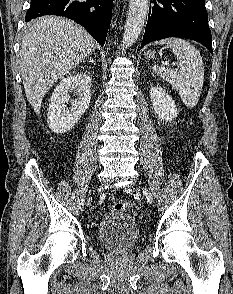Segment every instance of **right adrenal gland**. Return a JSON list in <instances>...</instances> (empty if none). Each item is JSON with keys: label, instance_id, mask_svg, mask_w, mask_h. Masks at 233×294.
<instances>
[{"label": "right adrenal gland", "instance_id": "1", "mask_svg": "<svg viewBox=\"0 0 233 294\" xmlns=\"http://www.w3.org/2000/svg\"><path fill=\"white\" fill-rule=\"evenodd\" d=\"M88 62L95 64V61L92 58H90Z\"/></svg>", "mask_w": 233, "mask_h": 294}]
</instances>
